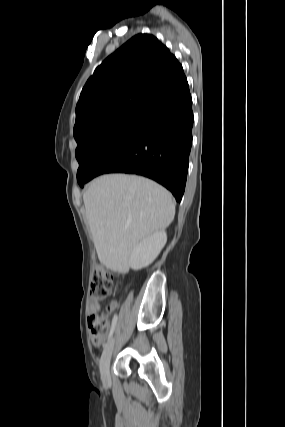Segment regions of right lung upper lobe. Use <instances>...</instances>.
<instances>
[{
	"instance_id": "cb5924a9",
	"label": "right lung upper lobe",
	"mask_w": 285,
	"mask_h": 427,
	"mask_svg": "<svg viewBox=\"0 0 285 427\" xmlns=\"http://www.w3.org/2000/svg\"><path fill=\"white\" fill-rule=\"evenodd\" d=\"M182 76L181 64L155 36L132 37L86 82L76 106L74 132L124 107L145 105L156 92Z\"/></svg>"
}]
</instances>
